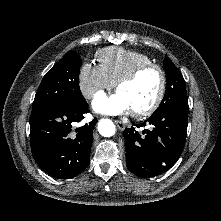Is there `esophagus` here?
<instances>
[{
    "instance_id": "1",
    "label": "esophagus",
    "mask_w": 221,
    "mask_h": 221,
    "mask_svg": "<svg viewBox=\"0 0 221 221\" xmlns=\"http://www.w3.org/2000/svg\"><path fill=\"white\" fill-rule=\"evenodd\" d=\"M114 122H115V124L117 125V127H118L120 130H124V129H125V124L122 123L121 121L115 120Z\"/></svg>"
}]
</instances>
